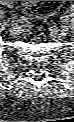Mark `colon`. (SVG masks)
Returning a JSON list of instances; mask_svg holds the SVG:
<instances>
[{
	"instance_id": "obj_1",
	"label": "colon",
	"mask_w": 74,
	"mask_h": 122,
	"mask_svg": "<svg viewBox=\"0 0 74 122\" xmlns=\"http://www.w3.org/2000/svg\"><path fill=\"white\" fill-rule=\"evenodd\" d=\"M60 1H26L24 11L27 15L40 17L57 9Z\"/></svg>"
}]
</instances>
